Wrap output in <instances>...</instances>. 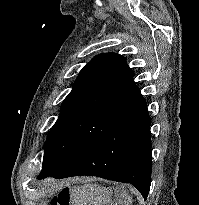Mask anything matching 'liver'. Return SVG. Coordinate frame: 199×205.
<instances>
[{
  "label": "liver",
  "instance_id": "liver-1",
  "mask_svg": "<svg viewBox=\"0 0 199 205\" xmlns=\"http://www.w3.org/2000/svg\"><path fill=\"white\" fill-rule=\"evenodd\" d=\"M81 180L84 182L83 185L70 189L71 205H110L113 200H118L121 205L131 204V198L125 190L116 194L103 186L93 184L92 182L95 181L93 178L87 177ZM62 184L60 183L59 186Z\"/></svg>",
  "mask_w": 199,
  "mask_h": 205
}]
</instances>
